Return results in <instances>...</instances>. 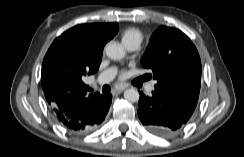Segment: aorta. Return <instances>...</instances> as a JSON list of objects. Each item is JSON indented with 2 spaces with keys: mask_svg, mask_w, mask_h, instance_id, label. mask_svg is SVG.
Here are the masks:
<instances>
[{
  "mask_svg": "<svg viewBox=\"0 0 244 157\" xmlns=\"http://www.w3.org/2000/svg\"><path fill=\"white\" fill-rule=\"evenodd\" d=\"M106 55L112 60H121L125 56L124 48L117 42H110L105 47ZM139 92L135 88H129L124 92L125 100L129 102H138Z\"/></svg>",
  "mask_w": 244,
  "mask_h": 157,
  "instance_id": "aorta-1",
  "label": "aorta"
}]
</instances>
